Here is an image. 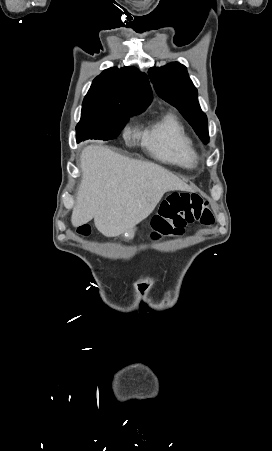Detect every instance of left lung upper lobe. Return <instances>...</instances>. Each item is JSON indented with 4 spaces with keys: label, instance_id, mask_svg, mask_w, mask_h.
Segmentation results:
<instances>
[{
    "label": "left lung upper lobe",
    "instance_id": "1",
    "mask_svg": "<svg viewBox=\"0 0 272 451\" xmlns=\"http://www.w3.org/2000/svg\"><path fill=\"white\" fill-rule=\"evenodd\" d=\"M157 94L175 106L193 127L198 136L208 143L207 117L198 103L197 89L189 78L187 69L178 62L149 69Z\"/></svg>",
    "mask_w": 272,
    "mask_h": 451
}]
</instances>
